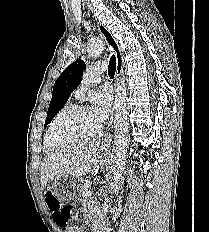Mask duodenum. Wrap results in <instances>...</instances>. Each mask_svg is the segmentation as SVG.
I'll return each instance as SVG.
<instances>
[{
    "label": "duodenum",
    "instance_id": "1",
    "mask_svg": "<svg viewBox=\"0 0 209 232\" xmlns=\"http://www.w3.org/2000/svg\"><path fill=\"white\" fill-rule=\"evenodd\" d=\"M94 232H104L102 225L96 222L93 227Z\"/></svg>",
    "mask_w": 209,
    "mask_h": 232
}]
</instances>
